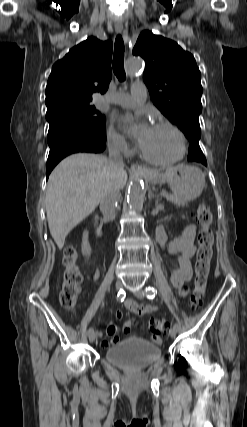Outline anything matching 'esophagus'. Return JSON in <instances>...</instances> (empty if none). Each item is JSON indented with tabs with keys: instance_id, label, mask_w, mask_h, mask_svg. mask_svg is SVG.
Returning <instances> with one entry per match:
<instances>
[{
	"instance_id": "34e87169",
	"label": "esophagus",
	"mask_w": 247,
	"mask_h": 427,
	"mask_svg": "<svg viewBox=\"0 0 247 427\" xmlns=\"http://www.w3.org/2000/svg\"><path fill=\"white\" fill-rule=\"evenodd\" d=\"M115 31L117 33H119V34L124 33V27H123V25H116L115 26ZM131 169L133 171H137V172L142 173V174H153L152 170H150L147 167H144L142 165H139V164H133V165H131Z\"/></svg>"
}]
</instances>
